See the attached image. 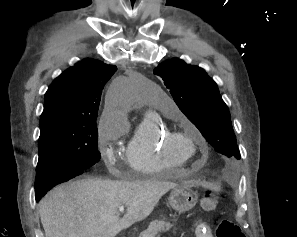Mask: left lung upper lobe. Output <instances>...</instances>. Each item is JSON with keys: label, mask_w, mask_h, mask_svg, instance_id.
I'll return each mask as SVG.
<instances>
[{"label": "left lung upper lobe", "mask_w": 297, "mask_h": 237, "mask_svg": "<svg viewBox=\"0 0 297 237\" xmlns=\"http://www.w3.org/2000/svg\"><path fill=\"white\" fill-rule=\"evenodd\" d=\"M153 73L162 78L180 110L216 152L240 159L228 107L202 68L174 59L161 63Z\"/></svg>", "instance_id": "obj_1"}]
</instances>
